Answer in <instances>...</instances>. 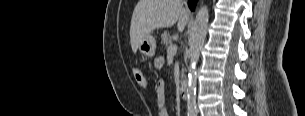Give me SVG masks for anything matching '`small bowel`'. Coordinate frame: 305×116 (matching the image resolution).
Here are the masks:
<instances>
[{
    "label": "small bowel",
    "instance_id": "obj_1",
    "mask_svg": "<svg viewBox=\"0 0 305 116\" xmlns=\"http://www.w3.org/2000/svg\"><path fill=\"white\" fill-rule=\"evenodd\" d=\"M154 64L157 68H159L162 65V60L158 58L155 60ZM155 90L157 93V106L159 109V116H169L166 107L165 84L162 79H157L155 81Z\"/></svg>",
    "mask_w": 305,
    "mask_h": 116
}]
</instances>
